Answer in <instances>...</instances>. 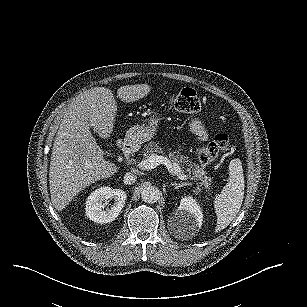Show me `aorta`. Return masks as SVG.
<instances>
[{
    "label": "aorta",
    "mask_w": 307,
    "mask_h": 307,
    "mask_svg": "<svg viewBox=\"0 0 307 307\" xmlns=\"http://www.w3.org/2000/svg\"><path fill=\"white\" fill-rule=\"evenodd\" d=\"M160 190L152 185L145 186L141 191V198L146 203H155L160 198Z\"/></svg>",
    "instance_id": "aorta-1"
}]
</instances>
